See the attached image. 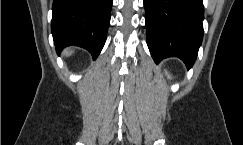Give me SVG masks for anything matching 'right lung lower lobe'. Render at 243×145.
Here are the masks:
<instances>
[{
	"label": "right lung lower lobe",
	"mask_w": 243,
	"mask_h": 145,
	"mask_svg": "<svg viewBox=\"0 0 243 145\" xmlns=\"http://www.w3.org/2000/svg\"><path fill=\"white\" fill-rule=\"evenodd\" d=\"M113 0H54L51 32L56 51L76 45L91 52L94 59L107 37Z\"/></svg>",
	"instance_id": "right-lung-lower-lobe-1"
}]
</instances>
